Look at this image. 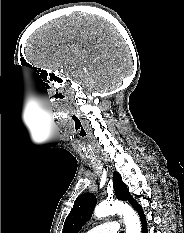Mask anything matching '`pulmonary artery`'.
<instances>
[{"instance_id": "pulmonary-artery-1", "label": "pulmonary artery", "mask_w": 184, "mask_h": 233, "mask_svg": "<svg viewBox=\"0 0 184 233\" xmlns=\"http://www.w3.org/2000/svg\"><path fill=\"white\" fill-rule=\"evenodd\" d=\"M119 232V224L115 221H109L98 225L87 233H118Z\"/></svg>"}]
</instances>
